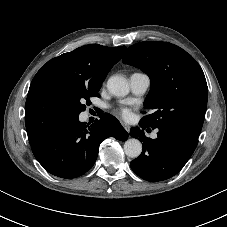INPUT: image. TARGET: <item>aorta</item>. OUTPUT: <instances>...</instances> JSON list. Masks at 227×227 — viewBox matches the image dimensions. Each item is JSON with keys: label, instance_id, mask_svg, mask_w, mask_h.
<instances>
[{"label": "aorta", "instance_id": "aorta-1", "mask_svg": "<svg viewBox=\"0 0 227 227\" xmlns=\"http://www.w3.org/2000/svg\"><path fill=\"white\" fill-rule=\"evenodd\" d=\"M108 91L117 97H124L129 93V84L122 76H112L107 81ZM124 152L130 158H137L142 152V144L138 139L130 138L124 143Z\"/></svg>", "mask_w": 227, "mask_h": 227}]
</instances>
